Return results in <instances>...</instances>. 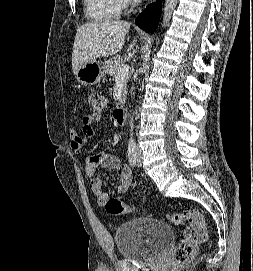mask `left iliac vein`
<instances>
[{"label":"left iliac vein","instance_id":"4c4485c4","mask_svg":"<svg viewBox=\"0 0 253 271\" xmlns=\"http://www.w3.org/2000/svg\"><path fill=\"white\" fill-rule=\"evenodd\" d=\"M137 165L139 167L142 165V152L139 147H137Z\"/></svg>","mask_w":253,"mask_h":271}]
</instances>
